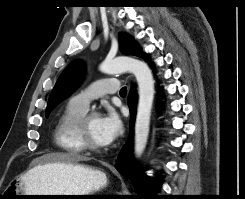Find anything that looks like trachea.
I'll use <instances>...</instances> for the list:
<instances>
[{
	"instance_id": "trachea-1",
	"label": "trachea",
	"mask_w": 245,
	"mask_h": 199,
	"mask_svg": "<svg viewBox=\"0 0 245 199\" xmlns=\"http://www.w3.org/2000/svg\"><path fill=\"white\" fill-rule=\"evenodd\" d=\"M126 94H127V88L126 87L121 88L120 95L124 97L126 96Z\"/></svg>"
}]
</instances>
